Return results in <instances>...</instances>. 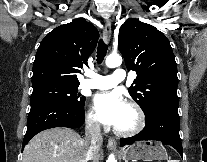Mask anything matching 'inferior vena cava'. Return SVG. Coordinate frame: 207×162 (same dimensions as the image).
I'll list each match as a JSON object with an SVG mask.
<instances>
[{"label":"inferior vena cava","mask_w":207,"mask_h":162,"mask_svg":"<svg viewBox=\"0 0 207 162\" xmlns=\"http://www.w3.org/2000/svg\"><path fill=\"white\" fill-rule=\"evenodd\" d=\"M85 142L88 144L86 158L83 162L97 158L99 149L103 143L100 123L95 119L88 118L85 125Z\"/></svg>","instance_id":"602c4592"}]
</instances>
